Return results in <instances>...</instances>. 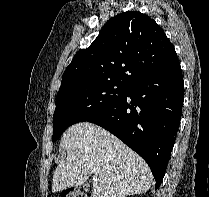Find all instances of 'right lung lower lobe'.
Masks as SVG:
<instances>
[{
    "label": "right lung lower lobe",
    "mask_w": 209,
    "mask_h": 197,
    "mask_svg": "<svg viewBox=\"0 0 209 197\" xmlns=\"http://www.w3.org/2000/svg\"><path fill=\"white\" fill-rule=\"evenodd\" d=\"M177 56L130 86L128 94L87 121L121 139L149 165L158 188L177 133L184 101Z\"/></svg>",
    "instance_id": "obj_1"
}]
</instances>
